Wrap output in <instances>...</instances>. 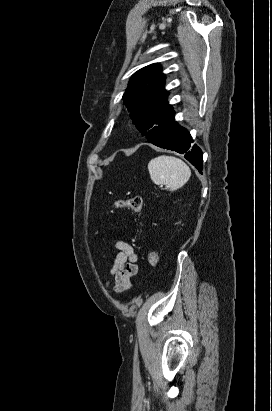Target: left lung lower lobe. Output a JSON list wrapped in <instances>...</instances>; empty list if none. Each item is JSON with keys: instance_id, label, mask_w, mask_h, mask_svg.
Returning <instances> with one entry per match:
<instances>
[{"instance_id": "obj_1", "label": "left lung lower lobe", "mask_w": 272, "mask_h": 411, "mask_svg": "<svg viewBox=\"0 0 272 411\" xmlns=\"http://www.w3.org/2000/svg\"><path fill=\"white\" fill-rule=\"evenodd\" d=\"M148 142L163 149L185 154L184 157L196 168H203L202 151L198 146L192 145L190 133L181 127L174 117L149 136Z\"/></svg>"}]
</instances>
